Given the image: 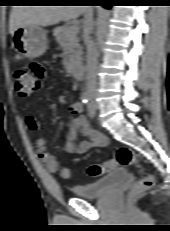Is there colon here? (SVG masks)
<instances>
[{"label": "colon", "instance_id": "5ec220e1", "mask_svg": "<svg viewBox=\"0 0 170 231\" xmlns=\"http://www.w3.org/2000/svg\"><path fill=\"white\" fill-rule=\"evenodd\" d=\"M14 88L16 93L21 97H28L35 92L39 84L31 72L24 68L16 69L14 72ZM117 165L122 166H139V160L136 154L128 147H120L116 150L114 157L105 164L91 165L87 169V173L93 177L102 175L105 171L115 168ZM59 175L63 179H70L72 176L71 170L67 167H62L59 170ZM154 184L152 175L142 176L130 191L131 196L151 188Z\"/></svg>", "mask_w": 170, "mask_h": 231}]
</instances>
